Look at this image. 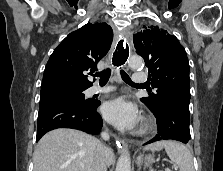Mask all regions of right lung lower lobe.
<instances>
[{
	"label": "right lung lower lobe",
	"instance_id": "98d812e1",
	"mask_svg": "<svg viewBox=\"0 0 223 171\" xmlns=\"http://www.w3.org/2000/svg\"><path fill=\"white\" fill-rule=\"evenodd\" d=\"M100 101L81 104L74 101H56L39 107L37 136L38 141L45 133L56 128H73L89 134H98L103 125L96 112Z\"/></svg>",
	"mask_w": 223,
	"mask_h": 171
}]
</instances>
